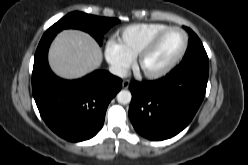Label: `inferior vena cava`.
Here are the masks:
<instances>
[{
	"mask_svg": "<svg viewBox=\"0 0 248 165\" xmlns=\"http://www.w3.org/2000/svg\"><path fill=\"white\" fill-rule=\"evenodd\" d=\"M109 71L113 75H116L120 78H126L127 77V70L124 67L112 65L109 67Z\"/></svg>",
	"mask_w": 248,
	"mask_h": 165,
	"instance_id": "obj_1",
	"label": "inferior vena cava"
}]
</instances>
